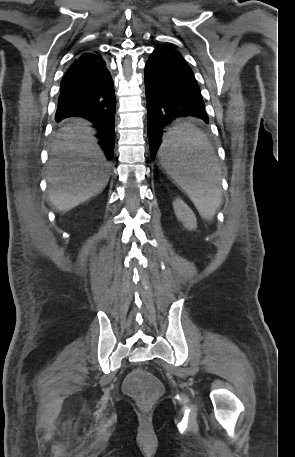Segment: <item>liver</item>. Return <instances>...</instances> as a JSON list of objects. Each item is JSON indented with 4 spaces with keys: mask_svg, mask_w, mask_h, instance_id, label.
<instances>
[{
    "mask_svg": "<svg viewBox=\"0 0 295 457\" xmlns=\"http://www.w3.org/2000/svg\"><path fill=\"white\" fill-rule=\"evenodd\" d=\"M95 131L83 119H71L61 129L53 147L56 155L70 159L49 163L47 180L49 199L60 211L67 212L101 193L109 180L106 159L93 137Z\"/></svg>",
    "mask_w": 295,
    "mask_h": 457,
    "instance_id": "obj_1",
    "label": "liver"
}]
</instances>
